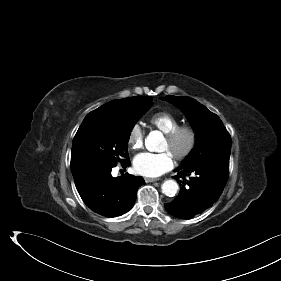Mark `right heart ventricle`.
<instances>
[{
  "label": "right heart ventricle",
  "instance_id": "e07e8e85",
  "mask_svg": "<svg viewBox=\"0 0 281 281\" xmlns=\"http://www.w3.org/2000/svg\"><path fill=\"white\" fill-rule=\"evenodd\" d=\"M149 122L153 127L157 128L164 134H167L180 124L179 119L167 111H160L153 114L149 118Z\"/></svg>",
  "mask_w": 281,
  "mask_h": 281
}]
</instances>
